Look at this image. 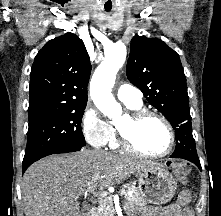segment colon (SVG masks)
I'll use <instances>...</instances> for the list:
<instances>
[{
	"instance_id": "5ec220e1",
	"label": "colon",
	"mask_w": 221,
	"mask_h": 216,
	"mask_svg": "<svg viewBox=\"0 0 221 216\" xmlns=\"http://www.w3.org/2000/svg\"><path fill=\"white\" fill-rule=\"evenodd\" d=\"M171 168L178 178L184 181L187 179L189 168L186 164L182 162H174L172 163Z\"/></svg>"
}]
</instances>
